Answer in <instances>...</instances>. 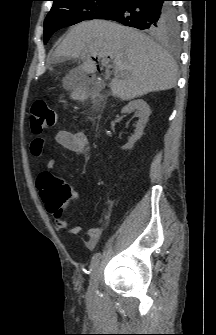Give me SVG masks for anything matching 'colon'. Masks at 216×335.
<instances>
[{"label":"colon","instance_id":"obj_1","mask_svg":"<svg viewBox=\"0 0 216 335\" xmlns=\"http://www.w3.org/2000/svg\"><path fill=\"white\" fill-rule=\"evenodd\" d=\"M57 114L55 110L49 106V104L44 100L37 101L31 109V127L34 132L41 133L51 127L56 123ZM56 194V189L53 187L51 191L46 196H54ZM70 194L67 189L62 190L60 198L62 202L67 200ZM61 201H57V205L61 206Z\"/></svg>","mask_w":216,"mask_h":335}]
</instances>
